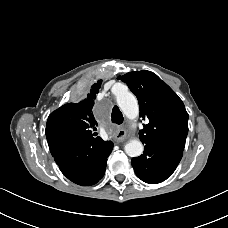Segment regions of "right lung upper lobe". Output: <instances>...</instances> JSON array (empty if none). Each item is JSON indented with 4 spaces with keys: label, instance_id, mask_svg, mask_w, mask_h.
<instances>
[{
    "label": "right lung upper lobe",
    "instance_id": "right-lung-upper-lobe-1",
    "mask_svg": "<svg viewBox=\"0 0 228 228\" xmlns=\"http://www.w3.org/2000/svg\"><path fill=\"white\" fill-rule=\"evenodd\" d=\"M102 80L94 83L78 103H68L52 112L46 124L49 146L78 139H97V122L92 113Z\"/></svg>",
    "mask_w": 228,
    "mask_h": 228
}]
</instances>
